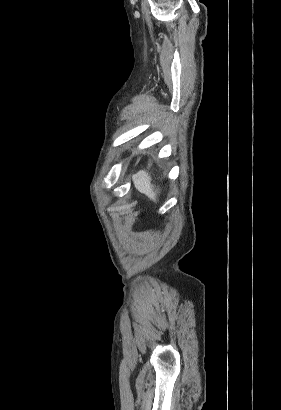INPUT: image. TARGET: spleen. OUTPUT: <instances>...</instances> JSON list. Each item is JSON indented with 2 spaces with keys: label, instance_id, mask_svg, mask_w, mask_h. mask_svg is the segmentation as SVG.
I'll return each mask as SVG.
<instances>
[{
  "label": "spleen",
  "instance_id": "obj_1",
  "mask_svg": "<svg viewBox=\"0 0 281 410\" xmlns=\"http://www.w3.org/2000/svg\"><path fill=\"white\" fill-rule=\"evenodd\" d=\"M133 182L135 188L145 194L150 200L156 202L157 194L154 191L153 185L151 184V178L145 171H139L133 176Z\"/></svg>",
  "mask_w": 281,
  "mask_h": 410
}]
</instances>
